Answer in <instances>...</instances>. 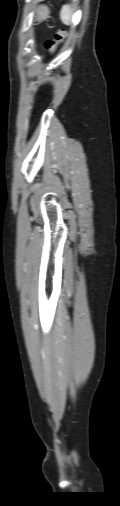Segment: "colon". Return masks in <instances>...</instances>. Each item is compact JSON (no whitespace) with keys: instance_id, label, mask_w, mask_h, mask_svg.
<instances>
[{"instance_id":"obj_1","label":"colon","mask_w":120,"mask_h":506,"mask_svg":"<svg viewBox=\"0 0 120 506\" xmlns=\"http://www.w3.org/2000/svg\"><path fill=\"white\" fill-rule=\"evenodd\" d=\"M63 38H64V34H63V33H58V34L55 36V38H54V39H52V40H48V41L46 42V48H47L50 52H52V51L55 49V47H56L57 43H58V42H60Z\"/></svg>"}]
</instances>
